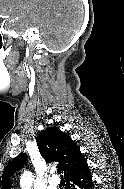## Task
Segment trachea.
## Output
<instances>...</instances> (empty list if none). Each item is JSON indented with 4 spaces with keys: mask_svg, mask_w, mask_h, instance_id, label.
<instances>
[{
    "mask_svg": "<svg viewBox=\"0 0 124 189\" xmlns=\"http://www.w3.org/2000/svg\"><path fill=\"white\" fill-rule=\"evenodd\" d=\"M57 173L61 175V170L57 169ZM62 176V175H61Z\"/></svg>",
    "mask_w": 124,
    "mask_h": 189,
    "instance_id": "1",
    "label": "trachea"
}]
</instances>
